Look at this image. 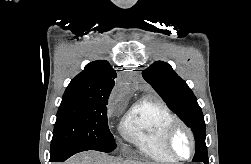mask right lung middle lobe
<instances>
[{
	"label": "right lung middle lobe",
	"instance_id": "1",
	"mask_svg": "<svg viewBox=\"0 0 251 164\" xmlns=\"http://www.w3.org/2000/svg\"><path fill=\"white\" fill-rule=\"evenodd\" d=\"M108 101L63 97L54 125L51 152L76 146L110 152L115 149L107 123Z\"/></svg>",
	"mask_w": 251,
	"mask_h": 164
}]
</instances>
